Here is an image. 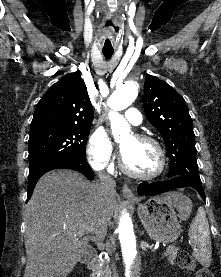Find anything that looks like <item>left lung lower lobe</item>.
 Wrapping results in <instances>:
<instances>
[{
    "label": "left lung lower lobe",
    "mask_w": 221,
    "mask_h": 277,
    "mask_svg": "<svg viewBox=\"0 0 221 277\" xmlns=\"http://www.w3.org/2000/svg\"><path fill=\"white\" fill-rule=\"evenodd\" d=\"M192 187L198 191L203 200H205V193L200 179H193L185 176H177L170 178L163 182L148 183L144 182L138 185V194L152 196L164 193L176 188Z\"/></svg>",
    "instance_id": "1"
}]
</instances>
